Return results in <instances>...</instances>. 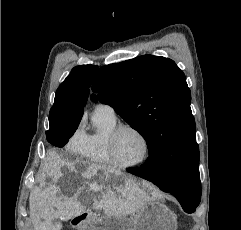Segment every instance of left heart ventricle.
I'll return each mask as SVG.
<instances>
[{
  "instance_id": "1",
  "label": "left heart ventricle",
  "mask_w": 241,
  "mask_h": 230,
  "mask_svg": "<svg viewBox=\"0 0 241 230\" xmlns=\"http://www.w3.org/2000/svg\"><path fill=\"white\" fill-rule=\"evenodd\" d=\"M144 154L142 139L131 130L120 133L116 143V156L119 161L131 163L138 161Z\"/></svg>"
}]
</instances>
